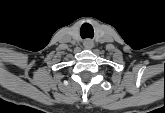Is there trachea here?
<instances>
[{
	"instance_id": "trachea-1",
	"label": "trachea",
	"mask_w": 165,
	"mask_h": 113,
	"mask_svg": "<svg viewBox=\"0 0 165 113\" xmlns=\"http://www.w3.org/2000/svg\"><path fill=\"white\" fill-rule=\"evenodd\" d=\"M80 34L83 39L92 38L94 33L91 25L88 23L83 24L80 30Z\"/></svg>"
}]
</instances>
